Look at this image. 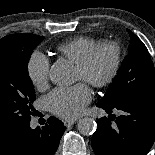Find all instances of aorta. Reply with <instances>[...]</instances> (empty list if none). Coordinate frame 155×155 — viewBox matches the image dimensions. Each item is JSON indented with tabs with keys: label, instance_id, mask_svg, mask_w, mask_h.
<instances>
[{
	"label": "aorta",
	"instance_id": "762f6f07",
	"mask_svg": "<svg viewBox=\"0 0 155 155\" xmlns=\"http://www.w3.org/2000/svg\"><path fill=\"white\" fill-rule=\"evenodd\" d=\"M49 78L56 85H67L73 80V70L65 61L56 62L50 69ZM82 135H92L96 130V122L89 117H84L77 124Z\"/></svg>",
	"mask_w": 155,
	"mask_h": 155
}]
</instances>
